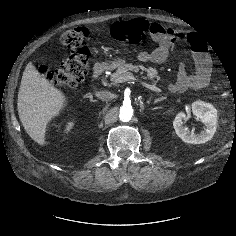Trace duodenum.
I'll use <instances>...</instances> for the list:
<instances>
[{"mask_svg":"<svg viewBox=\"0 0 236 236\" xmlns=\"http://www.w3.org/2000/svg\"><path fill=\"white\" fill-rule=\"evenodd\" d=\"M111 66L110 62L102 61L98 62L93 66L92 70V80H96L104 71H106Z\"/></svg>","mask_w":236,"mask_h":236,"instance_id":"410a0bca","label":"duodenum"}]
</instances>
